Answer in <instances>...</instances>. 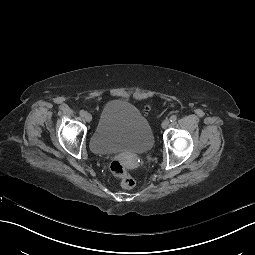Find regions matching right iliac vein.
<instances>
[{"mask_svg": "<svg viewBox=\"0 0 255 255\" xmlns=\"http://www.w3.org/2000/svg\"><path fill=\"white\" fill-rule=\"evenodd\" d=\"M85 120H86L87 122H90V121L92 120V115H91L90 113H86V114H85Z\"/></svg>", "mask_w": 255, "mask_h": 255, "instance_id": "1", "label": "right iliac vein"}]
</instances>
